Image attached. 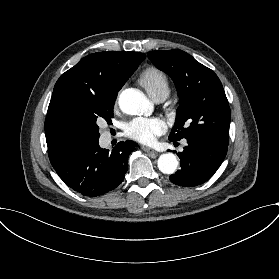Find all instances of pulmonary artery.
I'll return each mask as SVG.
<instances>
[{"label":"pulmonary artery","mask_w":279,"mask_h":279,"mask_svg":"<svg viewBox=\"0 0 279 279\" xmlns=\"http://www.w3.org/2000/svg\"><path fill=\"white\" fill-rule=\"evenodd\" d=\"M169 95V90L167 89H162L160 91H158L157 93L152 95V98L156 101V102H162L164 101Z\"/></svg>","instance_id":"obj_1"}]
</instances>
